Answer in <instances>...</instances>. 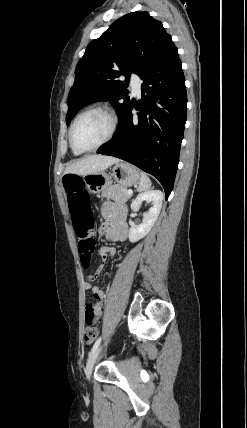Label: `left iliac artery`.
<instances>
[{"instance_id":"obj_1","label":"left iliac artery","mask_w":247,"mask_h":428,"mask_svg":"<svg viewBox=\"0 0 247 428\" xmlns=\"http://www.w3.org/2000/svg\"><path fill=\"white\" fill-rule=\"evenodd\" d=\"M100 342H101V337H99L97 340H96V342L94 343V345H93V347H92V349H91V352H90V355L98 348V346H99V344H100Z\"/></svg>"}]
</instances>
